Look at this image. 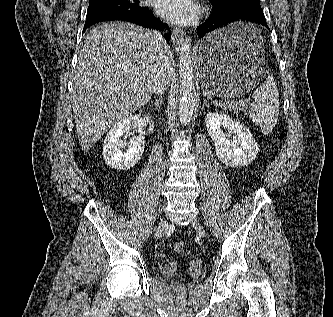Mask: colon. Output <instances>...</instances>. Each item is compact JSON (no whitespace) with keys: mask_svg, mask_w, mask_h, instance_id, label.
<instances>
[{"mask_svg":"<svg viewBox=\"0 0 333 317\" xmlns=\"http://www.w3.org/2000/svg\"><path fill=\"white\" fill-rule=\"evenodd\" d=\"M173 249L177 253H182L185 249V245L183 242H176L173 246Z\"/></svg>","mask_w":333,"mask_h":317,"instance_id":"5ec220e1","label":"colon"}]
</instances>
